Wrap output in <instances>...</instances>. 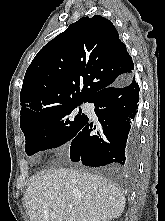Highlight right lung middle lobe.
<instances>
[{
  "label": "right lung middle lobe",
  "instance_id": "right-lung-middle-lobe-1",
  "mask_svg": "<svg viewBox=\"0 0 165 221\" xmlns=\"http://www.w3.org/2000/svg\"><path fill=\"white\" fill-rule=\"evenodd\" d=\"M81 104L49 110L20 123L26 139V153L30 156L72 140L88 119L81 109L75 110Z\"/></svg>",
  "mask_w": 165,
  "mask_h": 221
}]
</instances>
